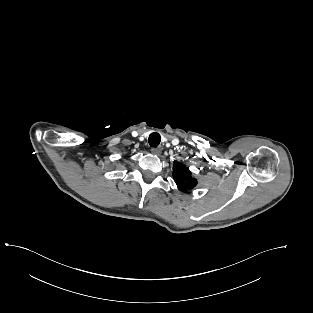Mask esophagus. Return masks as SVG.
<instances>
[{"label": "esophagus", "mask_w": 313, "mask_h": 313, "mask_svg": "<svg viewBox=\"0 0 313 313\" xmlns=\"http://www.w3.org/2000/svg\"><path fill=\"white\" fill-rule=\"evenodd\" d=\"M151 152L154 154V155H159L161 153V148H152L151 149Z\"/></svg>", "instance_id": "esophagus-1"}]
</instances>
